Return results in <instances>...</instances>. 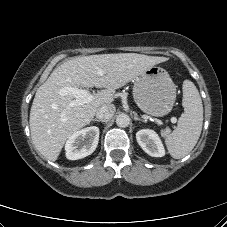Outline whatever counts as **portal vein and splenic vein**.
Instances as JSON below:
<instances>
[{
  "label": "portal vein and splenic vein",
  "mask_w": 227,
  "mask_h": 227,
  "mask_svg": "<svg viewBox=\"0 0 227 227\" xmlns=\"http://www.w3.org/2000/svg\"><path fill=\"white\" fill-rule=\"evenodd\" d=\"M97 74L102 76L104 74V72L102 70H99L97 72ZM60 94L61 95L69 94V95H72L75 97V100H73L69 104L70 107H74L77 105H83V104L91 102L93 100V95L89 91H87L85 89H78L75 87H65V88L61 89ZM170 122L174 124L177 122V119L175 117H172L170 119ZM161 123L162 122H160V124Z\"/></svg>",
  "instance_id": "obj_1"
}]
</instances>
